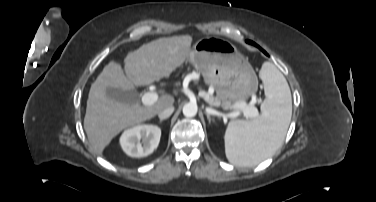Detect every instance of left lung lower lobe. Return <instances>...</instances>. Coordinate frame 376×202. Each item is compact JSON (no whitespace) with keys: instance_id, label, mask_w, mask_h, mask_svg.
I'll return each mask as SVG.
<instances>
[{"instance_id":"0a47b994","label":"left lung lower lobe","mask_w":376,"mask_h":202,"mask_svg":"<svg viewBox=\"0 0 376 202\" xmlns=\"http://www.w3.org/2000/svg\"><path fill=\"white\" fill-rule=\"evenodd\" d=\"M247 43H250V44H253V45L257 46L261 51L264 52V50H263L260 46H258L257 44H255L254 42H252V41H251V42H248V41H247Z\"/></svg>"}]
</instances>
